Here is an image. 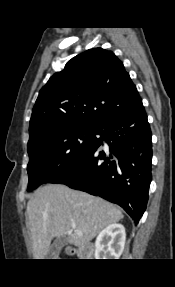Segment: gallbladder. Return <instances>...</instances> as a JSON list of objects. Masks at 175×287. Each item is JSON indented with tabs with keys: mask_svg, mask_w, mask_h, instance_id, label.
Wrapping results in <instances>:
<instances>
[{
	"mask_svg": "<svg viewBox=\"0 0 175 287\" xmlns=\"http://www.w3.org/2000/svg\"><path fill=\"white\" fill-rule=\"evenodd\" d=\"M68 243V237L66 235L57 237L52 245L50 246L46 258L47 259H54L55 257L58 256L60 250L67 245Z\"/></svg>",
	"mask_w": 175,
	"mask_h": 287,
	"instance_id": "bac80fb5",
	"label": "gallbladder"
}]
</instances>
